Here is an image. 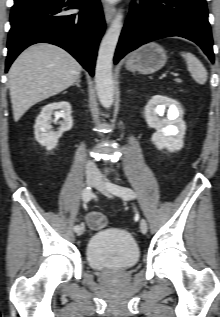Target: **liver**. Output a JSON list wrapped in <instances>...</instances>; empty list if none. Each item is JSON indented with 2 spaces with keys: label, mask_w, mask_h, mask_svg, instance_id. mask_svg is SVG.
I'll list each match as a JSON object with an SVG mask.
<instances>
[{
  "label": "liver",
  "mask_w": 220,
  "mask_h": 317,
  "mask_svg": "<svg viewBox=\"0 0 220 317\" xmlns=\"http://www.w3.org/2000/svg\"><path fill=\"white\" fill-rule=\"evenodd\" d=\"M81 71L78 61L58 46L39 43L27 48L8 73L14 121L36 103L73 85Z\"/></svg>",
  "instance_id": "obj_1"
}]
</instances>
